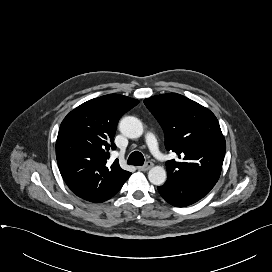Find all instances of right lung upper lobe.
I'll return each mask as SVG.
<instances>
[{"mask_svg":"<svg viewBox=\"0 0 272 272\" xmlns=\"http://www.w3.org/2000/svg\"><path fill=\"white\" fill-rule=\"evenodd\" d=\"M139 103L123 95L109 94L89 100L72 110L62 121L56 158L67 186L78 197L101 203L114 196L131 175L118 160L107 163L115 149L119 119Z\"/></svg>","mask_w":272,"mask_h":272,"instance_id":"right-lung-upper-lobe-1","label":"right lung upper lobe"}]
</instances>
